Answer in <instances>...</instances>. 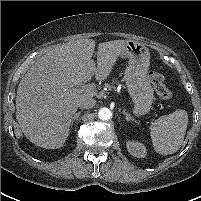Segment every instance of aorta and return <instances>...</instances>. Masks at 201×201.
I'll return each mask as SVG.
<instances>
[{
	"label": "aorta",
	"instance_id": "obj_1",
	"mask_svg": "<svg viewBox=\"0 0 201 201\" xmlns=\"http://www.w3.org/2000/svg\"><path fill=\"white\" fill-rule=\"evenodd\" d=\"M98 117L100 120L107 121L112 118V112L108 108H101L98 111Z\"/></svg>",
	"mask_w": 201,
	"mask_h": 201
}]
</instances>
